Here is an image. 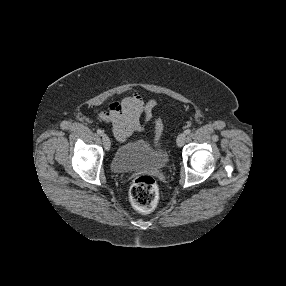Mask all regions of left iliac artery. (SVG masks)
Segmentation results:
<instances>
[{
  "label": "left iliac artery",
  "mask_w": 286,
  "mask_h": 286,
  "mask_svg": "<svg viewBox=\"0 0 286 286\" xmlns=\"http://www.w3.org/2000/svg\"><path fill=\"white\" fill-rule=\"evenodd\" d=\"M184 133H185L186 135L190 134V133H191V129L185 130Z\"/></svg>",
  "instance_id": "44dca946"
}]
</instances>
